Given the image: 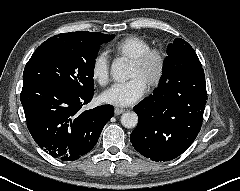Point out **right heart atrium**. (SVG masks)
Returning <instances> with one entry per match:
<instances>
[{"instance_id":"obj_1","label":"right heart atrium","mask_w":240,"mask_h":191,"mask_svg":"<svg viewBox=\"0 0 240 191\" xmlns=\"http://www.w3.org/2000/svg\"><path fill=\"white\" fill-rule=\"evenodd\" d=\"M92 77L100 85H105L109 80L110 65L105 53H99L95 56L92 63Z\"/></svg>"}]
</instances>
